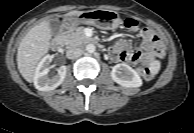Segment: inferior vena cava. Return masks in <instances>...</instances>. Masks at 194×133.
Returning <instances> with one entry per match:
<instances>
[{
  "label": "inferior vena cava",
  "instance_id": "inferior-vena-cava-1",
  "mask_svg": "<svg viewBox=\"0 0 194 133\" xmlns=\"http://www.w3.org/2000/svg\"><path fill=\"white\" fill-rule=\"evenodd\" d=\"M81 54H82V50L80 48H75V47L69 48L66 52V56L68 59L78 58L81 56Z\"/></svg>",
  "mask_w": 194,
  "mask_h": 133
}]
</instances>
